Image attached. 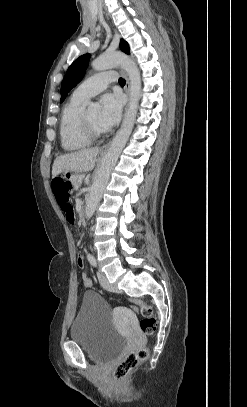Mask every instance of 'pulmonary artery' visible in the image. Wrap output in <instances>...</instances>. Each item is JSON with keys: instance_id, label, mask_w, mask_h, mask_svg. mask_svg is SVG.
<instances>
[{"instance_id": "e3ab8cb5", "label": "pulmonary artery", "mask_w": 247, "mask_h": 407, "mask_svg": "<svg viewBox=\"0 0 247 407\" xmlns=\"http://www.w3.org/2000/svg\"><path fill=\"white\" fill-rule=\"evenodd\" d=\"M117 80L114 71L103 72L93 75L81 83L74 91L73 96L79 99L88 100L107 88V86Z\"/></svg>"}]
</instances>
